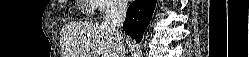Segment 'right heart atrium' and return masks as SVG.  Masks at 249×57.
I'll use <instances>...</instances> for the list:
<instances>
[{
  "label": "right heart atrium",
  "instance_id": "obj_1",
  "mask_svg": "<svg viewBox=\"0 0 249 57\" xmlns=\"http://www.w3.org/2000/svg\"><path fill=\"white\" fill-rule=\"evenodd\" d=\"M94 9L100 14H108L119 9L122 5L120 1L116 0H93Z\"/></svg>",
  "mask_w": 249,
  "mask_h": 57
}]
</instances>
